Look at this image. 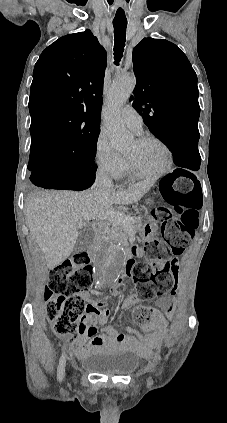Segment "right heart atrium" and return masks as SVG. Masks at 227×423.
Instances as JSON below:
<instances>
[{
	"label": "right heart atrium",
	"instance_id": "d8ad5b80",
	"mask_svg": "<svg viewBox=\"0 0 227 423\" xmlns=\"http://www.w3.org/2000/svg\"><path fill=\"white\" fill-rule=\"evenodd\" d=\"M94 159L97 166L113 178L123 177L128 169L125 156L112 148L104 132H100L96 137Z\"/></svg>",
	"mask_w": 227,
	"mask_h": 423
}]
</instances>
